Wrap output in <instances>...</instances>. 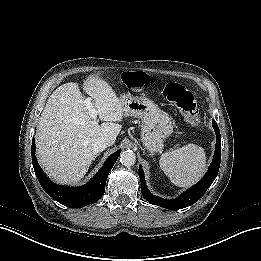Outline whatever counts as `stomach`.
Instances as JSON below:
<instances>
[{
    "label": "stomach",
    "instance_id": "stomach-1",
    "mask_svg": "<svg viewBox=\"0 0 261 261\" xmlns=\"http://www.w3.org/2000/svg\"><path fill=\"white\" fill-rule=\"evenodd\" d=\"M119 99L125 116L141 119V140L145 150L151 153L162 151L164 141L173 131L170 117L145 97L122 95Z\"/></svg>",
    "mask_w": 261,
    "mask_h": 261
}]
</instances>
